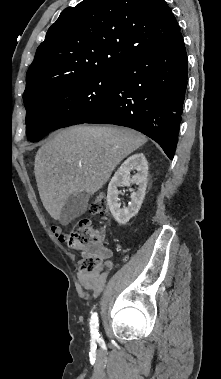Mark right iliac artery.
<instances>
[{
  "instance_id": "82829eb1",
  "label": "right iliac artery",
  "mask_w": 221,
  "mask_h": 379,
  "mask_svg": "<svg viewBox=\"0 0 221 379\" xmlns=\"http://www.w3.org/2000/svg\"><path fill=\"white\" fill-rule=\"evenodd\" d=\"M90 327H91V335L93 337H98L99 336V333H98V317H97V313H93L92 316H91V320H90Z\"/></svg>"
}]
</instances>
